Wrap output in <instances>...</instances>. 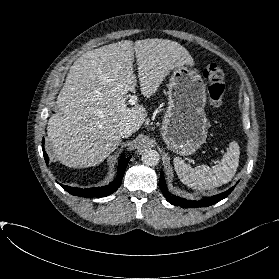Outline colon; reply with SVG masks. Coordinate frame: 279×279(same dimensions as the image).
<instances>
[{
    "label": "colon",
    "instance_id": "5ec220e1",
    "mask_svg": "<svg viewBox=\"0 0 279 279\" xmlns=\"http://www.w3.org/2000/svg\"><path fill=\"white\" fill-rule=\"evenodd\" d=\"M204 76L208 82L209 101L213 108L219 109L223 104L225 76L223 68L214 60H209L204 67Z\"/></svg>",
    "mask_w": 279,
    "mask_h": 279
}]
</instances>
